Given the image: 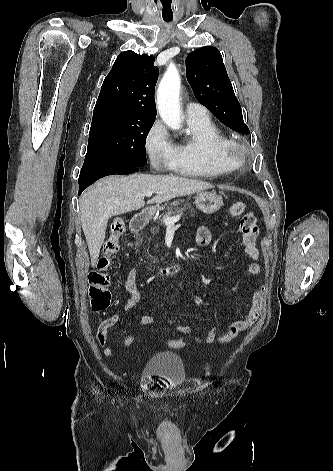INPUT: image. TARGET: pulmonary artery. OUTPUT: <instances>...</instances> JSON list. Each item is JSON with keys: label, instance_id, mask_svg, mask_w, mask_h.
Here are the masks:
<instances>
[{"label": "pulmonary artery", "instance_id": "1", "mask_svg": "<svg viewBox=\"0 0 333 471\" xmlns=\"http://www.w3.org/2000/svg\"><path fill=\"white\" fill-rule=\"evenodd\" d=\"M185 113L187 119H194L206 115L207 109L199 103L189 102L186 105Z\"/></svg>", "mask_w": 333, "mask_h": 471}]
</instances>
